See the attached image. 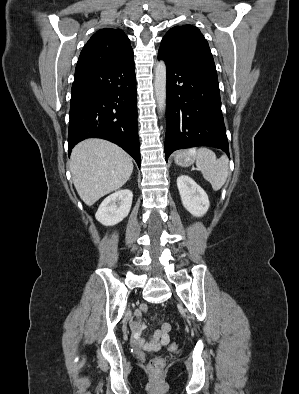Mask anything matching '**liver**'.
Here are the masks:
<instances>
[{
    "label": "liver",
    "mask_w": 299,
    "mask_h": 394,
    "mask_svg": "<svg viewBox=\"0 0 299 394\" xmlns=\"http://www.w3.org/2000/svg\"><path fill=\"white\" fill-rule=\"evenodd\" d=\"M70 171L80 198L92 206L127 182L133 163L119 146L102 139H87L72 150Z\"/></svg>",
    "instance_id": "liver-1"
}]
</instances>
